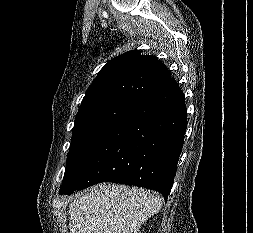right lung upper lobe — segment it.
Masks as SVG:
<instances>
[{
	"mask_svg": "<svg viewBox=\"0 0 253 233\" xmlns=\"http://www.w3.org/2000/svg\"><path fill=\"white\" fill-rule=\"evenodd\" d=\"M170 77V71L155 56L142 55L140 50L128 51L105 64L80 107L111 98L136 101Z\"/></svg>",
	"mask_w": 253,
	"mask_h": 233,
	"instance_id": "1",
	"label": "right lung upper lobe"
}]
</instances>
